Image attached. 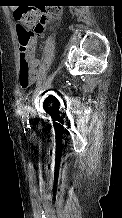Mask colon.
I'll list each match as a JSON object with an SVG mask.
<instances>
[{"label":"colon","instance_id":"1","mask_svg":"<svg viewBox=\"0 0 122 218\" xmlns=\"http://www.w3.org/2000/svg\"><path fill=\"white\" fill-rule=\"evenodd\" d=\"M13 16L18 25L19 82L21 87L26 89L33 83L35 77L31 55L36 37L42 35L46 27L54 21L57 10L18 8L13 12Z\"/></svg>","mask_w":122,"mask_h":218}]
</instances>
